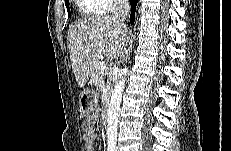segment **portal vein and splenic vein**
<instances>
[{"mask_svg": "<svg viewBox=\"0 0 231 151\" xmlns=\"http://www.w3.org/2000/svg\"><path fill=\"white\" fill-rule=\"evenodd\" d=\"M107 69V66L103 63L99 65V71L100 73H104V71Z\"/></svg>", "mask_w": 231, "mask_h": 151, "instance_id": "1", "label": "portal vein and splenic vein"}]
</instances>
